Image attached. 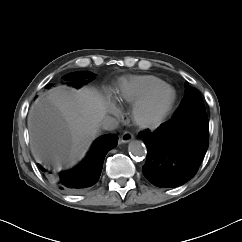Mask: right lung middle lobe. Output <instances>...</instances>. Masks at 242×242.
Listing matches in <instances>:
<instances>
[{
	"instance_id": "dd1d6c3e",
	"label": "right lung middle lobe",
	"mask_w": 242,
	"mask_h": 242,
	"mask_svg": "<svg viewBox=\"0 0 242 242\" xmlns=\"http://www.w3.org/2000/svg\"><path fill=\"white\" fill-rule=\"evenodd\" d=\"M94 75L89 72H79V73H73L70 75H67L65 78L69 80H73V83L75 86H79L84 84L83 81L86 79L92 78ZM90 81V80H88ZM49 86V85H48Z\"/></svg>"
}]
</instances>
